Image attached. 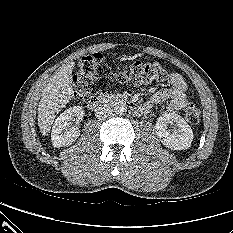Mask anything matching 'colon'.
<instances>
[{
  "mask_svg": "<svg viewBox=\"0 0 233 233\" xmlns=\"http://www.w3.org/2000/svg\"><path fill=\"white\" fill-rule=\"evenodd\" d=\"M103 77H108L110 80L120 83L140 85L163 82L167 80L170 75L167 73L166 69L157 62H135L129 66L110 70L107 73L104 67L103 55L101 53H93L82 58L78 70L74 75L75 100L84 101L88 98L94 90L95 82ZM185 117L191 124L199 122L200 110L193 102L186 105Z\"/></svg>",
  "mask_w": 233,
  "mask_h": 233,
  "instance_id": "5ec220e1",
  "label": "colon"
}]
</instances>
